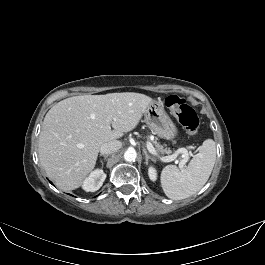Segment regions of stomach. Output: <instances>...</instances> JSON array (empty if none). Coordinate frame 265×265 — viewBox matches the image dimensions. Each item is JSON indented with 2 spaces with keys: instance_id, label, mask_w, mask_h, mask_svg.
Instances as JSON below:
<instances>
[{
  "instance_id": "obj_1",
  "label": "stomach",
  "mask_w": 265,
  "mask_h": 265,
  "mask_svg": "<svg viewBox=\"0 0 265 265\" xmlns=\"http://www.w3.org/2000/svg\"><path fill=\"white\" fill-rule=\"evenodd\" d=\"M144 119L150 130L160 138L173 139L177 134L175 124L172 122L163 104L152 101L144 112Z\"/></svg>"
}]
</instances>
